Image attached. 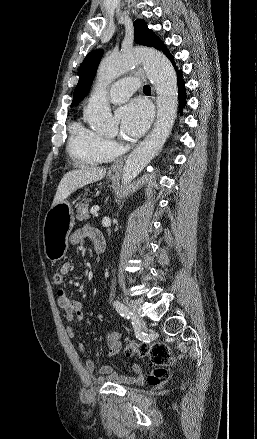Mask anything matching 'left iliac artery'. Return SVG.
<instances>
[{"instance_id": "44dca946", "label": "left iliac artery", "mask_w": 257, "mask_h": 439, "mask_svg": "<svg viewBox=\"0 0 257 439\" xmlns=\"http://www.w3.org/2000/svg\"><path fill=\"white\" fill-rule=\"evenodd\" d=\"M113 305L121 316L128 319L133 316V314L128 311L127 307L124 304H122L120 301L118 300L114 301Z\"/></svg>"}]
</instances>
